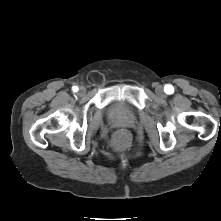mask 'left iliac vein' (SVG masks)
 Instances as JSON below:
<instances>
[{
	"mask_svg": "<svg viewBox=\"0 0 221 221\" xmlns=\"http://www.w3.org/2000/svg\"><path fill=\"white\" fill-rule=\"evenodd\" d=\"M155 92L160 97H164L165 96L164 89H163L162 86H157L156 89H155Z\"/></svg>",
	"mask_w": 221,
	"mask_h": 221,
	"instance_id": "obj_1",
	"label": "left iliac vein"
}]
</instances>
